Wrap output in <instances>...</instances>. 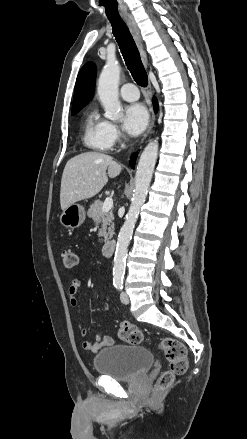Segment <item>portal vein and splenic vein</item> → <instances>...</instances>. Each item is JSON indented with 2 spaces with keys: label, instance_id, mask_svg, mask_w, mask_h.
Returning a JSON list of instances; mask_svg holds the SVG:
<instances>
[{
  "label": "portal vein and splenic vein",
  "instance_id": "obj_1",
  "mask_svg": "<svg viewBox=\"0 0 247 439\" xmlns=\"http://www.w3.org/2000/svg\"><path fill=\"white\" fill-rule=\"evenodd\" d=\"M113 207V199L112 197H107L102 206V212H108Z\"/></svg>",
  "mask_w": 247,
  "mask_h": 439
}]
</instances>
